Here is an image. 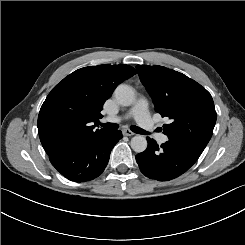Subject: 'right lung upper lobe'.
Masks as SVG:
<instances>
[{
  "instance_id": "1",
  "label": "right lung upper lobe",
  "mask_w": 245,
  "mask_h": 245,
  "mask_svg": "<svg viewBox=\"0 0 245 245\" xmlns=\"http://www.w3.org/2000/svg\"><path fill=\"white\" fill-rule=\"evenodd\" d=\"M136 74L128 65H98L78 69L57 84L38 116L40 141L46 153L59 146L105 131L94 130L104 102L115 87Z\"/></svg>"
}]
</instances>
